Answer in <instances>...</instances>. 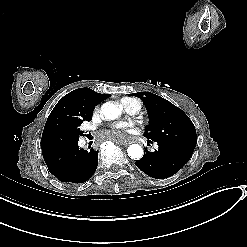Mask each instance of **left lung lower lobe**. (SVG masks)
<instances>
[{
    "label": "left lung lower lobe",
    "mask_w": 247,
    "mask_h": 247,
    "mask_svg": "<svg viewBox=\"0 0 247 247\" xmlns=\"http://www.w3.org/2000/svg\"><path fill=\"white\" fill-rule=\"evenodd\" d=\"M158 150L148 152L135 165L152 178L163 179L177 173L191 158L193 151L184 147L158 143Z\"/></svg>",
    "instance_id": "1"
}]
</instances>
